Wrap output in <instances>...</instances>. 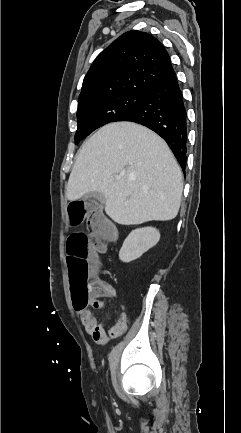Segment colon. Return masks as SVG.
<instances>
[{
    "mask_svg": "<svg viewBox=\"0 0 241 433\" xmlns=\"http://www.w3.org/2000/svg\"><path fill=\"white\" fill-rule=\"evenodd\" d=\"M69 228L77 229L82 221L88 219V225L94 236L92 242L85 233H74L67 244L66 266L70 275V291L73 298V309L86 312L90 301L102 291L101 281L95 274L98 263L97 252L104 246V241L112 237L111 224L105 216L106 205L101 200H84L69 202Z\"/></svg>",
    "mask_w": 241,
    "mask_h": 433,
    "instance_id": "1",
    "label": "colon"
}]
</instances>
